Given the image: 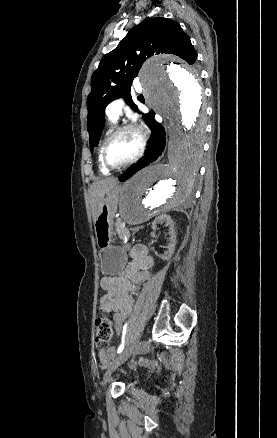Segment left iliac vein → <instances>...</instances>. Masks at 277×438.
<instances>
[{"mask_svg":"<svg viewBox=\"0 0 277 438\" xmlns=\"http://www.w3.org/2000/svg\"><path fill=\"white\" fill-rule=\"evenodd\" d=\"M142 336V332L139 334V336L131 341L126 348L123 350V352L116 358V360L112 363L111 367L108 369V371L105 373L103 381H102V385L103 387H105L107 381L109 380L112 372L118 367L120 366L122 363H124L133 353L135 347L137 346V344L139 343V340Z\"/></svg>","mask_w":277,"mask_h":438,"instance_id":"left-iliac-vein-1","label":"left iliac vein"}]
</instances>
